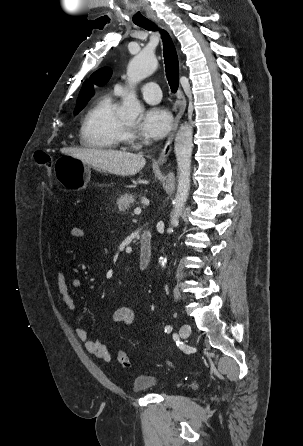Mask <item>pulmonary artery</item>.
<instances>
[{"mask_svg": "<svg viewBox=\"0 0 303 446\" xmlns=\"http://www.w3.org/2000/svg\"><path fill=\"white\" fill-rule=\"evenodd\" d=\"M115 89L118 93L123 94L126 87L122 84H117ZM140 93L143 99L150 104H156L161 100V90L158 84L154 82H147L140 86Z\"/></svg>", "mask_w": 303, "mask_h": 446, "instance_id": "pulmonary-artery-1", "label": "pulmonary artery"}]
</instances>
